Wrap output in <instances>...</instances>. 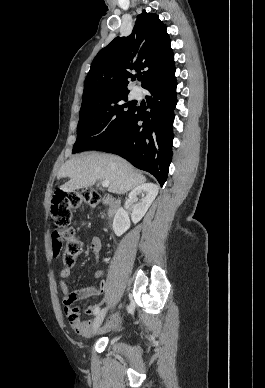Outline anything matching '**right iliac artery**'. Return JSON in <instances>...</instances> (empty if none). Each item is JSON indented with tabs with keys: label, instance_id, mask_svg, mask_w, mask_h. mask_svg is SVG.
I'll return each instance as SVG.
<instances>
[{
	"label": "right iliac artery",
	"instance_id": "right-iliac-artery-1",
	"mask_svg": "<svg viewBox=\"0 0 265 388\" xmlns=\"http://www.w3.org/2000/svg\"><path fill=\"white\" fill-rule=\"evenodd\" d=\"M100 312V308L99 307H96L93 314L94 315H97L98 313Z\"/></svg>",
	"mask_w": 265,
	"mask_h": 388
}]
</instances>
